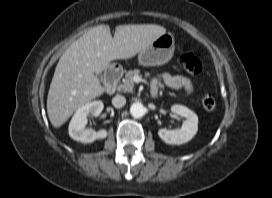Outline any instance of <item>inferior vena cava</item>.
<instances>
[{
    "instance_id": "obj_1",
    "label": "inferior vena cava",
    "mask_w": 272,
    "mask_h": 198,
    "mask_svg": "<svg viewBox=\"0 0 272 198\" xmlns=\"http://www.w3.org/2000/svg\"><path fill=\"white\" fill-rule=\"evenodd\" d=\"M112 104L115 108H121L126 104V98L122 95H116L112 99Z\"/></svg>"
}]
</instances>
